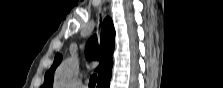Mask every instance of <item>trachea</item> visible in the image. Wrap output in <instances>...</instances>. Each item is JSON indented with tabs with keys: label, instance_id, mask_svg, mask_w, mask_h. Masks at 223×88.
Returning <instances> with one entry per match:
<instances>
[{
	"label": "trachea",
	"instance_id": "trachea-1",
	"mask_svg": "<svg viewBox=\"0 0 223 88\" xmlns=\"http://www.w3.org/2000/svg\"><path fill=\"white\" fill-rule=\"evenodd\" d=\"M96 82H97V75H96V74H93V75L90 77L89 88H95V86H96Z\"/></svg>",
	"mask_w": 223,
	"mask_h": 88
}]
</instances>
